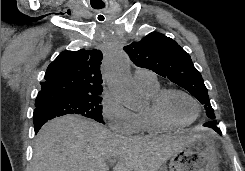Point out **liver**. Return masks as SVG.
Returning a JSON list of instances; mask_svg holds the SVG:
<instances>
[{"label":"liver","mask_w":245,"mask_h":171,"mask_svg":"<svg viewBox=\"0 0 245 171\" xmlns=\"http://www.w3.org/2000/svg\"><path fill=\"white\" fill-rule=\"evenodd\" d=\"M194 136L123 137L77 115L55 118L39 131L32 171H158Z\"/></svg>","instance_id":"obj_1"}]
</instances>
